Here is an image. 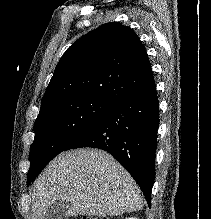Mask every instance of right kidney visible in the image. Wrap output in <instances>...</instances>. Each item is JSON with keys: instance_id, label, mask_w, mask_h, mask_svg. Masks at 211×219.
Masks as SVG:
<instances>
[{"instance_id": "right-kidney-1", "label": "right kidney", "mask_w": 211, "mask_h": 219, "mask_svg": "<svg viewBox=\"0 0 211 219\" xmlns=\"http://www.w3.org/2000/svg\"><path fill=\"white\" fill-rule=\"evenodd\" d=\"M126 219H138V218H135V217H130V218H126Z\"/></svg>"}]
</instances>
